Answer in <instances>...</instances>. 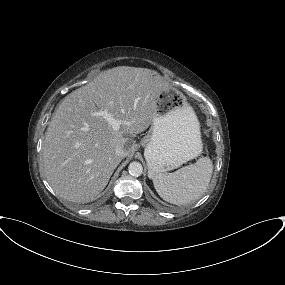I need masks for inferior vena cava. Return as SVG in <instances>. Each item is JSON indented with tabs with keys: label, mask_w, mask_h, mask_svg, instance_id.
<instances>
[{
	"label": "inferior vena cava",
	"mask_w": 285,
	"mask_h": 285,
	"mask_svg": "<svg viewBox=\"0 0 285 285\" xmlns=\"http://www.w3.org/2000/svg\"><path fill=\"white\" fill-rule=\"evenodd\" d=\"M116 155L119 157V158H123L125 156V151L123 148L119 147L116 149Z\"/></svg>",
	"instance_id": "inferior-vena-cava-1"
}]
</instances>
